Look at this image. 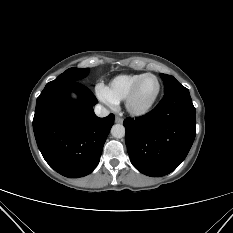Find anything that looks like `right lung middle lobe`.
Masks as SVG:
<instances>
[{
    "label": "right lung middle lobe",
    "mask_w": 233,
    "mask_h": 233,
    "mask_svg": "<svg viewBox=\"0 0 233 233\" xmlns=\"http://www.w3.org/2000/svg\"><path fill=\"white\" fill-rule=\"evenodd\" d=\"M89 71V68H69L64 73L60 74L55 80L47 83V85L79 81L85 78L89 74Z\"/></svg>",
    "instance_id": "dd1d6c3e"
}]
</instances>
